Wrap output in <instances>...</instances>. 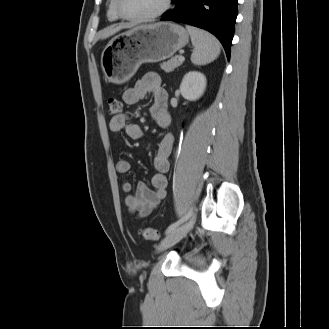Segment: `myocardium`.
Wrapping results in <instances>:
<instances>
[{
    "instance_id": "myocardium-1",
    "label": "myocardium",
    "mask_w": 329,
    "mask_h": 329,
    "mask_svg": "<svg viewBox=\"0 0 329 329\" xmlns=\"http://www.w3.org/2000/svg\"><path fill=\"white\" fill-rule=\"evenodd\" d=\"M171 3L172 0H164L163 6L153 14L145 15V16H131L123 12L121 6V0H116V11L118 15L125 20H129L133 22H146V21L157 19L161 17L163 14H165L171 7Z\"/></svg>"
}]
</instances>
